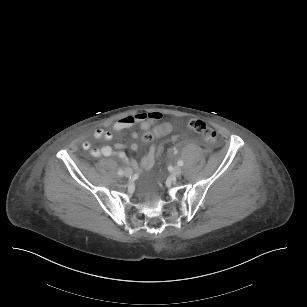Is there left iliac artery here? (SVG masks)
I'll return each instance as SVG.
<instances>
[{
	"mask_svg": "<svg viewBox=\"0 0 307 307\" xmlns=\"http://www.w3.org/2000/svg\"><path fill=\"white\" fill-rule=\"evenodd\" d=\"M177 164H178L179 166H183L184 162H183L182 160H179V161L177 162Z\"/></svg>",
	"mask_w": 307,
	"mask_h": 307,
	"instance_id": "44dca946",
	"label": "left iliac artery"
}]
</instances>
